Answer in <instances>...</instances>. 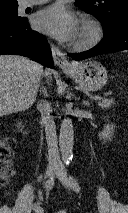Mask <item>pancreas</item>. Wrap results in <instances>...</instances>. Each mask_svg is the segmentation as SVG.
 Listing matches in <instances>:
<instances>
[{"instance_id": "obj_1", "label": "pancreas", "mask_w": 128, "mask_h": 213, "mask_svg": "<svg viewBox=\"0 0 128 213\" xmlns=\"http://www.w3.org/2000/svg\"><path fill=\"white\" fill-rule=\"evenodd\" d=\"M97 100H98V105L101 108H105V109H108V108L112 107V105L114 104V100L113 99L97 97Z\"/></svg>"}]
</instances>
